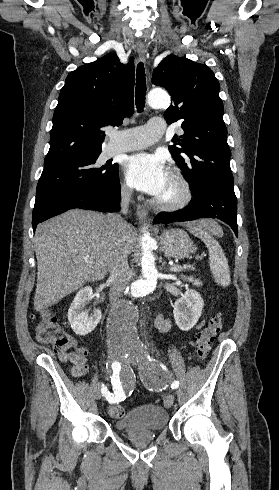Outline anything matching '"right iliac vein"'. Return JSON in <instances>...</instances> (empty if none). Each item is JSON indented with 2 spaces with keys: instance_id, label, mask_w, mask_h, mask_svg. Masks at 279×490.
Listing matches in <instances>:
<instances>
[{
  "instance_id": "63e3f726",
  "label": "right iliac vein",
  "mask_w": 279,
  "mask_h": 490,
  "mask_svg": "<svg viewBox=\"0 0 279 490\" xmlns=\"http://www.w3.org/2000/svg\"><path fill=\"white\" fill-rule=\"evenodd\" d=\"M117 357L113 354H109V360L114 362L116 361ZM101 397V392L98 390V393H97V398L99 399Z\"/></svg>"
}]
</instances>
